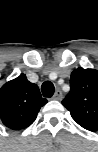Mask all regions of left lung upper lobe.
I'll list each match as a JSON object with an SVG mask.
<instances>
[{
  "mask_svg": "<svg viewBox=\"0 0 98 152\" xmlns=\"http://www.w3.org/2000/svg\"><path fill=\"white\" fill-rule=\"evenodd\" d=\"M62 104L81 127L98 130V71L75 69L70 77V92Z\"/></svg>",
  "mask_w": 98,
  "mask_h": 152,
  "instance_id": "1",
  "label": "left lung upper lobe"
}]
</instances>
